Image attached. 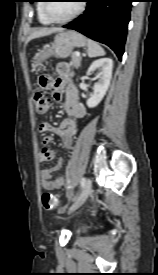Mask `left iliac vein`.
Here are the masks:
<instances>
[{
  "label": "left iliac vein",
  "mask_w": 158,
  "mask_h": 275,
  "mask_svg": "<svg viewBox=\"0 0 158 275\" xmlns=\"http://www.w3.org/2000/svg\"><path fill=\"white\" fill-rule=\"evenodd\" d=\"M92 191V182L90 178H87L85 180V184L83 187V190L80 194V196L78 197V199L74 202V204L71 206L70 210H76L77 208H79L83 202H85V200L88 198V196L90 195Z\"/></svg>",
  "instance_id": "obj_1"
}]
</instances>
